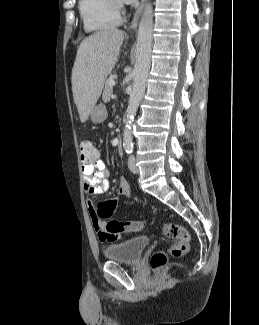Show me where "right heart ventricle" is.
<instances>
[{"mask_svg":"<svg viewBox=\"0 0 259 325\" xmlns=\"http://www.w3.org/2000/svg\"><path fill=\"white\" fill-rule=\"evenodd\" d=\"M79 14L87 32H102L121 21L114 0H79Z\"/></svg>","mask_w":259,"mask_h":325,"instance_id":"obj_1","label":"right heart ventricle"}]
</instances>
